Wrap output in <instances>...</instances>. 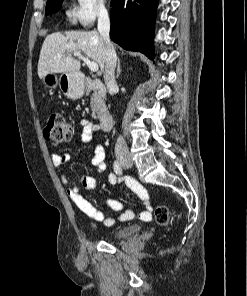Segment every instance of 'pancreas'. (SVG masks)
<instances>
[{
	"label": "pancreas",
	"mask_w": 247,
	"mask_h": 296,
	"mask_svg": "<svg viewBox=\"0 0 247 296\" xmlns=\"http://www.w3.org/2000/svg\"><path fill=\"white\" fill-rule=\"evenodd\" d=\"M91 108H92V117L94 119H97V118H99L102 111H104L106 109V106H105L103 99H101L97 96H92Z\"/></svg>",
	"instance_id": "pancreas-1"
}]
</instances>
